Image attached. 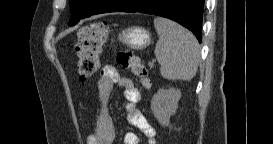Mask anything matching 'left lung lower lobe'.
<instances>
[{
    "label": "left lung lower lobe",
    "instance_id": "obj_1",
    "mask_svg": "<svg viewBox=\"0 0 273 144\" xmlns=\"http://www.w3.org/2000/svg\"><path fill=\"white\" fill-rule=\"evenodd\" d=\"M203 9L204 0H95L90 10L72 16L69 25L100 13L141 12L174 20L191 30L201 42Z\"/></svg>",
    "mask_w": 273,
    "mask_h": 144
}]
</instances>
